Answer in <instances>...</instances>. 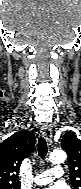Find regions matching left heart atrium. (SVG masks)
Here are the masks:
<instances>
[{"mask_svg":"<svg viewBox=\"0 0 81 189\" xmlns=\"http://www.w3.org/2000/svg\"><path fill=\"white\" fill-rule=\"evenodd\" d=\"M49 189H60V188H58V187H51V188H49Z\"/></svg>","mask_w":81,"mask_h":189,"instance_id":"obj_1","label":"left heart atrium"}]
</instances>
